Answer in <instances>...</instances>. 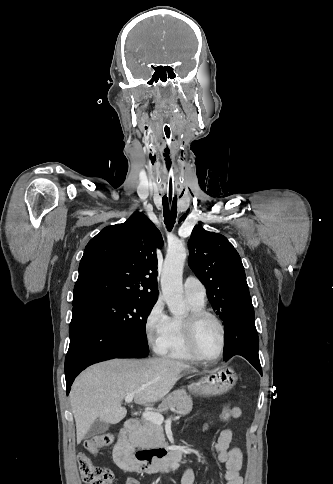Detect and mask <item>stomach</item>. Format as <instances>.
<instances>
[{
	"label": "stomach",
	"mask_w": 333,
	"mask_h": 484,
	"mask_svg": "<svg viewBox=\"0 0 333 484\" xmlns=\"http://www.w3.org/2000/svg\"><path fill=\"white\" fill-rule=\"evenodd\" d=\"M196 375H201L202 378L189 385L188 390L190 393L206 396L214 397L224 395L234 387L237 381V375L234 369L227 365L214 368L204 373L196 371Z\"/></svg>",
	"instance_id": "obj_1"
}]
</instances>
